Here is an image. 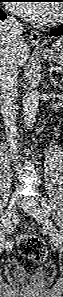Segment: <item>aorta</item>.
<instances>
[{
	"label": "aorta",
	"mask_w": 63,
	"mask_h": 297,
	"mask_svg": "<svg viewBox=\"0 0 63 297\" xmlns=\"http://www.w3.org/2000/svg\"><path fill=\"white\" fill-rule=\"evenodd\" d=\"M39 110V93L36 89L35 82L31 81L30 87L23 98V120L26 125H32L36 120Z\"/></svg>",
	"instance_id": "762f6f07"
}]
</instances>
